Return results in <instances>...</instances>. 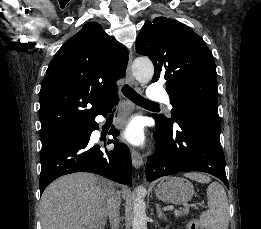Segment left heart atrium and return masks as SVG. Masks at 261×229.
Masks as SVG:
<instances>
[{
	"mask_svg": "<svg viewBox=\"0 0 261 229\" xmlns=\"http://www.w3.org/2000/svg\"><path fill=\"white\" fill-rule=\"evenodd\" d=\"M121 138L128 144L134 146H140L145 141V131L143 124L137 120L133 119L124 127Z\"/></svg>",
	"mask_w": 261,
	"mask_h": 229,
	"instance_id": "left-heart-atrium-1",
	"label": "left heart atrium"
}]
</instances>
